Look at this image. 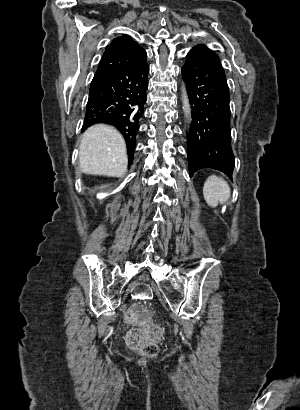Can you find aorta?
Instances as JSON below:
<instances>
[{
    "instance_id": "obj_1",
    "label": "aorta",
    "mask_w": 300,
    "mask_h": 410,
    "mask_svg": "<svg viewBox=\"0 0 300 410\" xmlns=\"http://www.w3.org/2000/svg\"><path fill=\"white\" fill-rule=\"evenodd\" d=\"M182 97H183V109H184V113L186 115V117H190V106H189V99H188V95H187V91L185 86H183L182 89Z\"/></svg>"
}]
</instances>
